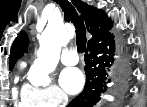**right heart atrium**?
<instances>
[{
    "label": "right heart atrium",
    "mask_w": 147,
    "mask_h": 107,
    "mask_svg": "<svg viewBox=\"0 0 147 107\" xmlns=\"http://www.w3.org/2000/svg\"><path fill=\"white\" fill-rule=\"evenodd\" d=\"M21 97L40 107H61L68 101L66 94L54 84L35 87L27 83L23 86Z\"/></svg>",
    "instance_id": "d8ad5b80"
}]
</instances>
